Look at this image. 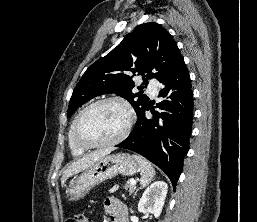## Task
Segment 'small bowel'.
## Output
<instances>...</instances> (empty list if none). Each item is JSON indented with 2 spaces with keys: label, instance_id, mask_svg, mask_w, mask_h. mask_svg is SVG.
<instances>
[{
  "label": "small bowel",
  "instance_id": "1",
  "mask_svg": "<svg viewBox=\"0 0 257 222\" xmlns=\"http://www.w3.org/2000/svg\"><path fill=\"white\" fill-rule=\"evenodd\" d=\"M104 207L110 222H128L126 208L118 200L107 198Z\"/></svg>",
  "mask_w": 257,
  "mask_h": 222
}]
</instances>
